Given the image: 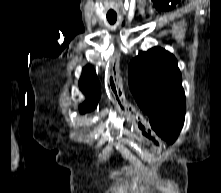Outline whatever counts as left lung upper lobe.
I'll return each instance as SVG.
<instances>
[{"mask_svg":"<svg viewBox=\"0 0 221 193\" xmlns=\"http://www.w3.org/2000/svg\"><path fill=\"white\" fill-rule=\"evenodd\" d=\"M129 86L152 129L170 144L185 117V94L175 57L160 47L141 52L129 65Z\"/></svg>","mask_w":221,"mask_h":193,"instance_id":"5c2ea615","label":"left lung upper lobe"}]
</instances>
